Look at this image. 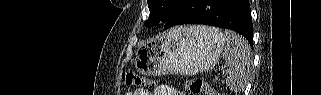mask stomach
<instances>
[{"instance_id": "0dacf381", "label": "stomach", "mask_w": 321, "mask_h": 95, "mask_svg": "<svg viewBox=\"0 0 321 95\" xmlns=\"http://www.w3.org/2000/svg\"><path fill=\"white\" fill-rule=\"evenodd\" d=\"M224 49L218 34L189 26L170 30L136 51L135 67L144 75H193L211 69Z\"/></svg>"}]
</instances>
